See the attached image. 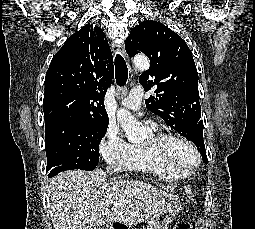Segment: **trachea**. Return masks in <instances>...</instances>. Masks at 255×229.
I'll list each match as a JSON object with an SVG mask.
<instances>
[{"mask_svg": "<svg viewBox=\"0 0 255 229\" xmlns=\"http://www.w3.org/2000/svg\"><path fill=\"white\" fill-rule=\"evenodd\" d=\"M115 77L116 83L119 86L125 85L128 79L127 65L120 54H117L115 57Z\"/></svg>", "mask_w": 255, "mask_h": 229, "instance_id": "trachea-1", "label": "trachea"}]
</instances>
